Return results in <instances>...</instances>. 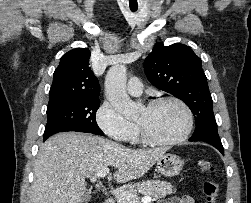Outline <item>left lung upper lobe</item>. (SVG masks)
Returning a JSON list of instances; mask_svg holds the SVG:
<instances>
[{
  "instance_id": "1",
  "label": "left lung upper lobe",
  "mask_w": 251,
  "mask_h": 203,
  "mask_svg": "<svg viewBox=\"0 0 251 203\" xmlns=\"http://www.w3.org/2000/svg\"><path fill=\"white\" fill-rule=\"evenodd\" d=\"M144 70L154 86L181 99L191 109L196 128L190 139L221 142L202 62L190 47L157 43L144 61Z\"/></svg>"
}]
</instances>
